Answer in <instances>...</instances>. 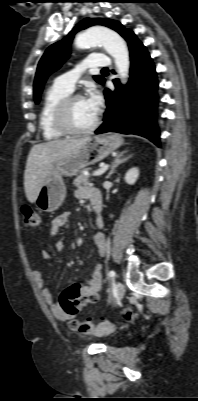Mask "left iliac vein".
<instances>
[{"label":"left iliac vein","mask_w":198,"mask_h":401,"mask_svg":"<svg viewBox=\"0 0 198 401\" xmlns=\"http://www.w3.org/2000/svg\"><path fill=\"white\" fill-rule=\"evenodd\" d=\"M116 293H117L118 299L121 300L125 293L124 285L121 282H118L116 285Z\"/></svg>","instance_id":"1"}]
</instances>
